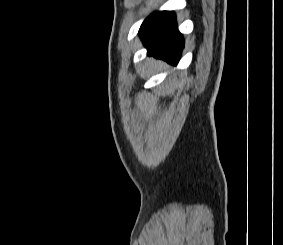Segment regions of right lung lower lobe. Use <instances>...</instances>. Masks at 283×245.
Here are the masks:
<instances>
[{"instance_id": "right-lung-lower-lobe-1", "label": "right lung lower lobe", "mask_w": 283, "mask_h": 245, "mask_svg": "<svg viewBox=\"0 0 283 245\" xmlns=\"http://www.w3.org/2000/svg\"><path fill=\"white\" fill-rule=\"evenodd\" d=\"M139 36L148 48V54L176 65L184 40L171 11L154 12L141 25Z\"/></svg>"}]
</instances>
